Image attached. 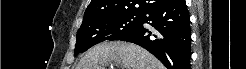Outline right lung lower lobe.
<instances>
[{"instance_id":"1","label":"right lung lower lobe","mask_w":246,"mask_h":69,"mask_svg":"<svg viewBox=\"0 0 246 69\" xmlns=\"http://www.w3.org/2000/svg\"><path fill=\"white\" fill-rule=\"evenodd\" d=\"M118 40L144 47L168 69H190V16L185 0H166L147 9L139 26Z\"/></svg>"}]
</instances>
